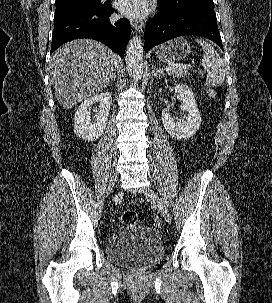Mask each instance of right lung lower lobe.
<instances>
[{
	"label": "right lung lower lobe",
	"instance_id": "1",
	"mask_svg": "<svg viewBox=\"0 0 272 303\" xmlns=\"http://www.w3.org/2000/svg\"><path fill=\"white\" fill-rule=\"evenodd\" d=\"M111 6L101 10H86L54 19L51 52L67 41L91 38L106 44L122 58L130 39V22L123 18L110 21Z\"/></svg>",
	"mask_w": 272,
	"mask_h": 303
}]
</instances>
